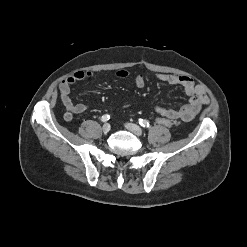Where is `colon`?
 I'll list each match as a JSON object with an SVG mask.
<instances>
[{
	"label": "colon",
	"instance_id": "obj_1",
	"mask_svg": "<svg viewBox=\"0 0 247 247\" xmlns=\"http://www.w3.org/2000/svg\"><path fill=\"white\" fill-rule=\"evenodd\" d=\"M156 123L165 127H172L175 125V121L173 119L159 116L155 119Z\"/></svg>",
	"mask_w": 247,
	"mask_h": 247
}]
</instances>
